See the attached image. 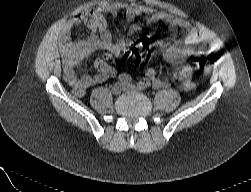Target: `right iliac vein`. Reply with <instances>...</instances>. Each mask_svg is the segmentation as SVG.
<instances>
[{"label": "right iliac vein", "instance_id": "obj_1", "mask_svg": "<svg viewBox=\"0 0 251 192\" xmlns=\"http://www.w3.org/2000/svg\"><path fill=\"white\" fill-rule=\"evenodd\" d=\"M123 89V85L121 83H116L112 86L111 91L114 95H119Z\"/></svg>", "mask_w": 251, "mask_h": 192}]
</instances>
